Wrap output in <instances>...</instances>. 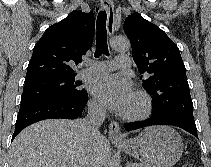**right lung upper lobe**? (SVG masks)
<instances>
[{
	"instance_id": "obj_1",
	"label": "right lung upper lobe",
	"mask_w": 211,
	"mask_h": 167,
	"mask_svg": "<svg viewBox=\"0 0 211 167\" xmlns=\"http://www.w3.org/2000/svg\"><path fill=\"white\" fill-rule=\"evenodd\" d=\"M95 28L92 12H71L51 25L37 42L27 67L25 81L47 76L76 75L72 64L91 47Z\"/></svg>"
}]
</instances>
